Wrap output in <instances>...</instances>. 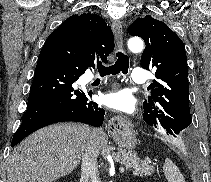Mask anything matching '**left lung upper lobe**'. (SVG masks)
<instances>
[{"mask_svg": "<svg viewBox=\"0 0 211 182\" xmlns=\"http://www.w3.org/2000/svg\"><path fill=\"white\" fill-rule=\"evenodd\" d=\"M129 34L143 38L141 67L156 69L151 96L144 102L145 122L182 142H190L188 66L184 44L164 22L151 16L135 20Z\"/></svg>", "mask_w": 211, "mask_h": 182, "instance_id": "1", "label": "left lung upper lobe"}]
</instances>
